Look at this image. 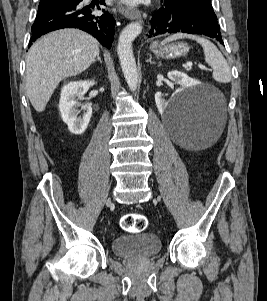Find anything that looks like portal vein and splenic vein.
Instances as JSON below:
<instances>
[{
  "label": "portal vein and splenic vein",
  "instance_id": "1",
  "mask_svg": "<svg viewBox=\"0 0 267 301\" xmlns=\"http://www.w3.org/2000/svg\"><path fill=\"white\" fill-rule=\"evenodd\" d=\"M186 67H187V68H191V67H192V62H188V63L186 64ZM198 67H199L200 69H203V70H209L207 67H205V66L202 65V64H199Z\"/></svg>",
  "mask_w": 267,
  "mask_h": 301
}]
</instances>
